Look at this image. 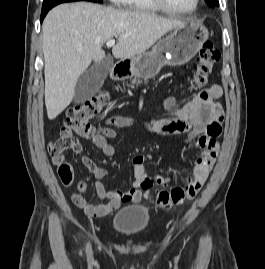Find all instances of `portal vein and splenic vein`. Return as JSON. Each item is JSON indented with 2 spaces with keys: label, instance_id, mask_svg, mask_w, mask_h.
I'll return each instance as SVG.
<instances>
[{
  "label": "portal vein and splenic vein",
  "instance_id": "1",
  "mask_svg": "<svg viewBox=\"0 0 265 269\" xmlns=\"http://www.w3.org/2000/svg\"><path fill=\"white\" fill-rule=\"evenodd\" d=\"M114 45H115V40H114V39L109 40V41L106 42V46H107V47H112V46H114Z\"/></svg>",
  "mask_w": 265,
  "mask_h": 269
}]
</instances>
